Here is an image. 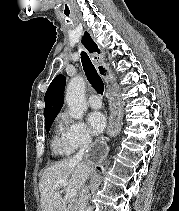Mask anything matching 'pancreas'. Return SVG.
<instances>
[{
    "label": "pancreas",
    "mask_w": 179,
    "mask_h": 211,
    "mask_svg": "<svg viewBox=\"0 0 179 211\" xmlns=\"http://www.w3.org/2000/svg\"><path fill=\"white\" fill-rule=\"evenodd\" d=\"M64 205V211H78V202L68 200Z\"/></svg>",
    "instance_id": "1"
}]
</instances>
